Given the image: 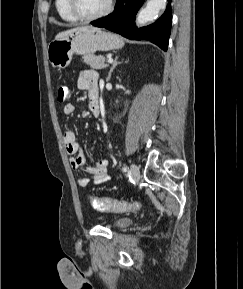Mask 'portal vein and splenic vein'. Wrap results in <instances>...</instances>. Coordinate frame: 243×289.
I'll list each match as a JSON object with an SVG mask.
<instances>
[{
  "label": "portal vein and splenic vein",
  "instance_id": "portal-vein-and-splenic-vein-1",
  "mask_svg": "<svg viewBox=\"0 0 243 289\" xmlns=\"http://www.w3.org/2000/svg\"><path fill=\"white\" fill-rule=\"evenodd\" d=\"M113 62V59L112 58H109L108 59V63H112Z\"/></svg>",
  "mask_w": 243,
  "mask_h": 289
}]
</instances>
